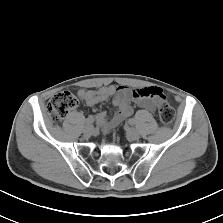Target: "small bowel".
Masks as SVG:
<instances>
[{"label":"small bowel","mask_w":223,"mask_h":223,"mask_svg":"<svg viewBox=\"0 0 223 223\" xmlns=\"http://www.w3.org/2000/svg\"><path fill=\"white\" fill-rule=\"evenodd\" d=\"M154 89L160 92L156 87L130 88L127 86L107 85L98 89H80L77 94L90 107L107 101L111 97L113 98L112 103L117 108V112L111 119H107L105 112L90 116L94 118L100 130L107 133L132 115V103L143 109L153 111L156 107V97L158 96L153 94Z\"/></svg>","instance_id":"c3829d8e"}]
</instances>
